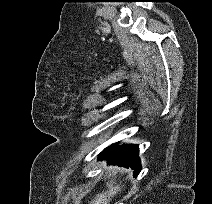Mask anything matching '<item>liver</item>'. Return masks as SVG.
Masks as SVG:
<instances>
[{
    "mask_svg": "<svg viewBox=\"0 0 212 204\" xmlns=\"http://www.w3.org/2000/svg\"><path fill=\"white\" fill-rule=\"evenodd\" d=\"M114 184V180H111L109 183H107V190L105 192L97 194L90 202V204H109L111 198L114 197L119 191H121V187Z\"/></svg>",
    "mask_w": 212,
    "mask_h": 204,
    "instance_id": "1",
    "label": "liver"
}]
</instances>
